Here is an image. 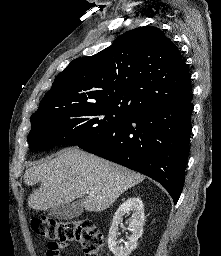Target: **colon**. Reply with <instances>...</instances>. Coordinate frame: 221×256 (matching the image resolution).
Returning <instances> with one entry per match:
<instances>
[{
    "instance_id": "5ec220e1",
    "label": "colon",
    "mask_w": 221,
    "mask_h": 256,
    "mask_svg": "<svg viewBox=\"0 0 221 256\" xmlns=\"http://www.w3.org/2000/svg\"><path fill=\"white\" fill-rule=\"evenodd\" d=\"M30 226L49 241L50 254L58 255L67 245L76 242L86 256H100L104 245L102 233L88 219L59 221L41 216L31 218Z\"/></svg>"
}]
</instances>
